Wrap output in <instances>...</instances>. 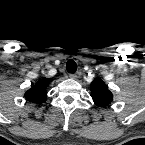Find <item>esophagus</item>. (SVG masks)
<instances>
[{
  "label": "esophagus",
  "instance_id": "obj_1",
  "mask_svg": "<svg viewBox=\"0 0 145 145\" xmlns=\"http://www.w3.org/2000/svg\"><path fill=\"white\" fill-rule=\"evenodd\" d=\"M80 76H81V71H77L76 73L69 75L71 79H75V80L78 79Z\"/></svg>",
  "mask_w": 145,
  "mask_h": 145
}]
</instances>
